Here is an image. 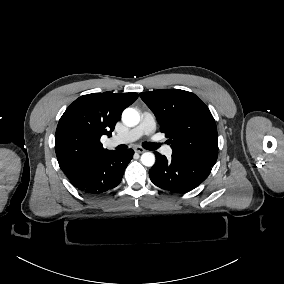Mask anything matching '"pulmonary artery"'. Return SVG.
<instances>
[{"label": "pulmonary artery", "instance_id": "obj_1", "mask_svg": "<svg viewBox=\"0 0 284 284\" xmlns=\"http://www.w3.org/2000/svg\"><path fill=\"white\" fill-rule=\"evenodd\" d=\"M155 119L149 113H144L142 119L136 127L124 132L112 136L109 141L114 145L126 144L133 142L143 135H148L155 130Z\"/></svg>", "mask_w": 284, "mask_h": 284}]
</instances>
